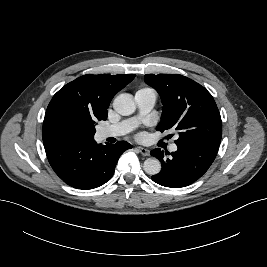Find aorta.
Segmentation results:
<instances>
[{
	"label": "aorta",
	"mask_w": 267,
	"mask_h": 267,
	"mask_svg": "<svg viewBox=\"0 0 267 267\" xmlns=\"http://www.w3.org/2000/svg\"><path fill=\"white\" fill-rule=\"evenodd\" d=\"M114 110L122 116H128L135 112L136 104L130 95L121 94L114 99ZM144 171L149 175H156L161 171V163L156 158H148L143 164Z\"/></svg>",
	"instance_id": "aorta-1"
}]
</instances>
